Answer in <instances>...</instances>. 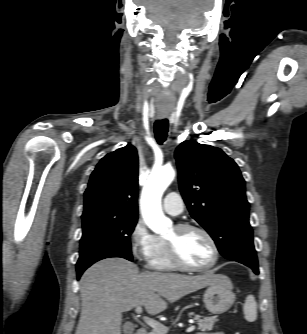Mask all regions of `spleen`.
I'll list each match as a JSON object with an SVG mask.
<instances>
[{
	"label": "spleen",
	"instance_id": "3e777b00",
	"mask_svg": "<svg viewBox=\"0 0 307 334\" xmlns=\"http://www.w3.org/2000/svg\"><path fill=\"white\" fill-rule=\"evenodd\" d=\"M245 319L254 322L257 318V303L253 295H248L244 304Z\"/></svg>",
	"mask_w": 307,
	"mask_h": 334
}]
</instances>
